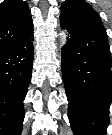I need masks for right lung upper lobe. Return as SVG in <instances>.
I'll return each instance as SVG.
<instances>
[{
    "mask_svg": "<svg viewBox=\"0 0 112 135\" xmlns=\"http://www.w3.org/2000/svg\"><path fill=\"white\" fill-rule=\"evenodd\" d=\"M33 30L31 11L23 0H5L0 5V51Z\"/></svg>",
    "mask_w": 112,
    "mask_h": 135,
    "instance_id": "1",
    "label": "right lung upper lobe"
}]
</instances>
